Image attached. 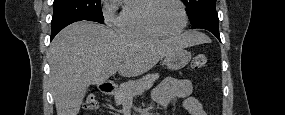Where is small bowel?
<instances>
[{"label":"small bowel","instance_id":"c3829d8e","mask_svg":"<svg viewBox=\"0 0 285 115\" xmlns=\"http://www.w3.org/2000/svg\"><path fill=\"white\" fill-rule=\"evenodd\" d=\"M192 83L187 79L166 78L153 89L152 102L164 110L175 97L184 98V108L189 115H206L201 103L191 96Z\"/></svg>","mask_w":285,"mask_h":115}]
</instances>
